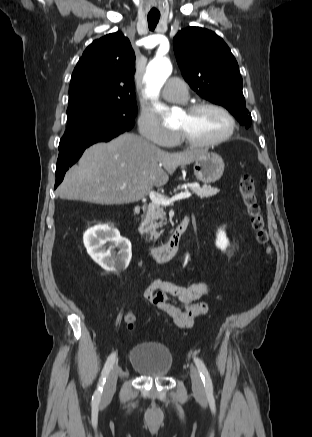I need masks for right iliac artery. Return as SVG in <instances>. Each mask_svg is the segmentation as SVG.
I'll return each instance as SVG.
<instances>
[{
	"label": "right iliac artery",
	"instance_id": "obj_1",
	"mask_svg": "<svg viewBox=\"0 0 312 437\" xmlns=\"http://www.w3.org/2000/svg\"><path fill=\"white\" fill-rule=\"evenodd\" d=\"M115 361H116V353H112L107 358V361H106L104 368L102 370V374H101V377L99 379L97 389L92 397L93 404H96V405L99 404L101 396H102V392H103V387H104V384L106 382V378H107L110 370L112 369Z\"/></svg>",
	"mask_w": 312,
	"mask_h": 437
}]
</instances>
